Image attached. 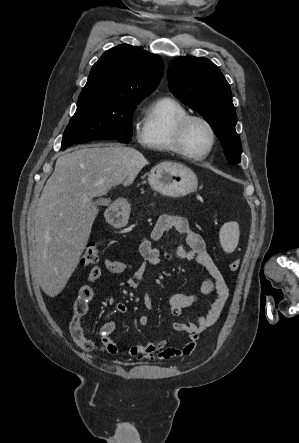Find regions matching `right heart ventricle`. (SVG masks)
Instances as JSON below:
<instances>
[{
  "label": "right heart ventricle",
  "mask_w": 299,
  "mask_h": 443,
  "mask_svg": "<svg viewBox=\"0 0 299 443\" xmlns=\"http://www.w3.org/2000/svg\"><path fill=\"white\" fill-rule=\"evenodd\" d=\"M187 109L171 97H161L146 109L139 141L149 150L177 153L173 136L176 123L187 115Z\"/></svg>",
  "instance_id": "1"
}]
</instances>
